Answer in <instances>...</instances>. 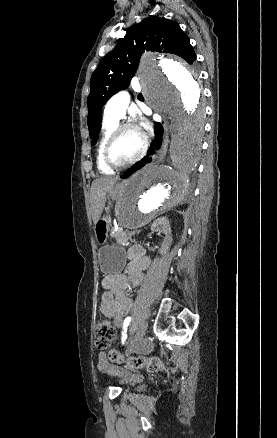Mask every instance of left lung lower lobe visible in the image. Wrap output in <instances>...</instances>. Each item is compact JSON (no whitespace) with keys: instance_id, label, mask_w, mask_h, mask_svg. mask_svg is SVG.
Wrapping results in <instances>:
<instances>
[{"instance_id":"left-lung-lower-lobe-1","label":"left lung lower lobe","mask_w":277,"mask_h":438,"mask_svg":"<svg viewBox=\"0 0 277 438\" xmlns=\"http://www.w3.org/2000/svg\"><path fill=\"white\" fill-rule=\"evenodd\" d=\"M155 141L152 143V146H156L157 149L159 148L161 144V137L163 134V127L160 123H155ZM149 153H154V150H150ZM151 162V158L148 156H145L141 161H138L135 163L131 168H129L122 176L121 178H127L130 175H132L135 171L142 168L147 163Z\"/></svg>"}]
</instances>
